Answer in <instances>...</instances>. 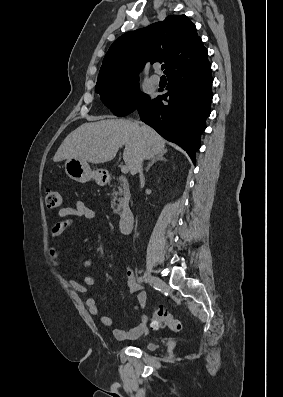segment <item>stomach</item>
<instances>
[{"label": "stomach", "mask_w": 283, "mask_h": 397, "mask_svg": "<svg viewBox=\"0 0 283 397\" xmlns=\"http://www.w3.org/2000/svg\"><path fill=\"white\" fill-rule=\"evenodd\" d=\"M65 172L73 180L81 183L95 180L98 184L103 183V173L100 170H91L86 161L77 158H68L65 162Z\"/></svg>", "instance_id": "1"}]
</instances>
